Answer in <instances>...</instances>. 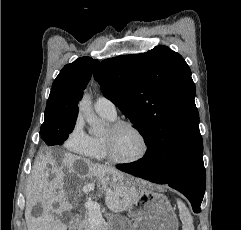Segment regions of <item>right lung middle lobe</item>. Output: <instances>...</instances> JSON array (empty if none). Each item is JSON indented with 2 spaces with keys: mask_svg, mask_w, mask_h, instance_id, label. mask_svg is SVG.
I'll return each instance as SVG.
<instances>
[{
  "mask_svg": "<svg viewBox=\"0 0 241 230\" xmlns=\"http://www.w3.org/2000/svg\"><path fill=\"white\" fill-rule=\"evenodd\" d=\"M76 119L64 121L45 120L40 128V136L50 146L61 145L73 131Z\"/></svg>",
  "mask_w": 241,
  "mask_h": 230,
  "instance_id": "right-lung-middle-lobe-1",
  "label": "right lung middle lobe"
}]
</instances>
